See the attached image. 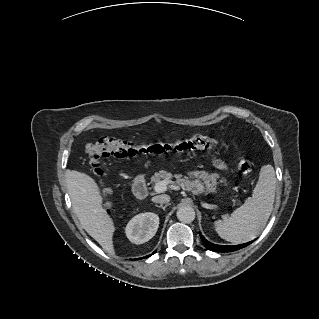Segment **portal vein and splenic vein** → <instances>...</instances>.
Returning a JSON list of instances; mask_svg holds the SVG:
<instances>
[{
  "label": "portal vein and splenic vein",
  "mask_w": 319,
  "mask_h": 319,
  "mask_svg": "<svg viewBox=\"0 0 319 319\" xmlns=\"http://www.w3.org/2000/svg\"><path fill=\"white\" fill-rule=\"evenodd\" d=\"M168 184H169V180H161L155 184L153 190L156 193L165 192Z\"/></svg>",
  "instance_id": "1"
}]
</instances>
